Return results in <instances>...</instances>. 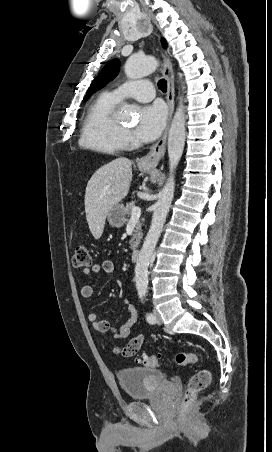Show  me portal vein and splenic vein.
<instances>
[{"label": "portal vein and splenic vein", "instance_id": "1", "mask_svg": "<svg viewBox=\"0 0 272 452\" xmlns=\"http://www.w3.org/2000/svg\"><path fill=\"white\" fill-rule=\"evenodd\" d=\"M141 215V208L140 207H133L132 213H131V219H137Z\"/></svg>", "mask_w": 272, "mask_h": 452}]
</instances>
